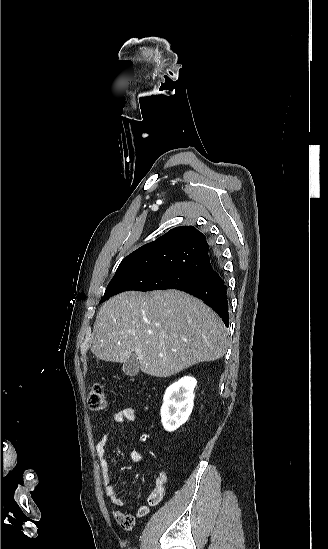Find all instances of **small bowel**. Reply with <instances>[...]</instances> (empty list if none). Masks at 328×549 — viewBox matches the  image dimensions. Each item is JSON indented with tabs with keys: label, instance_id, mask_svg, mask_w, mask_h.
Segmentation results:
<instances>
[{
	"label": "small bowel",
	"instance_id": "obj_1",
	"mask_svg": "<svg viewBox=\"0 0 328 549\" xmlns=\"http://www.w3.org/2000/svg\"><path fill=\"white\" fill-rule=\"evenodd\" d=\"M136 419V410L131 407H124L121 410L113 412L110 416L112 424H131ZM108 434L104 435L96 445V454L100 464L102 482L105 488L107 497L110 503L114 506H122L124 503L118 495L117 488L112 483L110 474V465L108 461L106 445L108 442ZM130 458L133 461H141L144 458L143 453L137 450H131ZM167 473L164 470H159L158 476L154 482V487L151 493L147 497V506H142L138 509V515H145L148 511V506L157 505L164 497L165 484L167 482Z\"/></svg>",
	"mask_w": 328,
	"mask_h": 549
}]
</instances>
